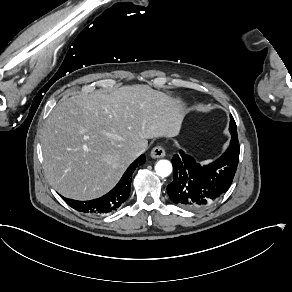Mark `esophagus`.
<instances>
[{
	"label": "esophagus",
	"instance_id": "34e87169",
	"mask_svg": "<svg viewBox=\"0 0 292 292\" xmlns=\"http://www.w3.org/2000/svg\"><path fill=\"white\" fill-rule=\"evenodd\" d=\"M165 154H166L165 149L159 145L155 146L150 152V156L153 159L162 158L165 156Z\"/></svg>",
	"mask_w": 292,
	"mask_h": 292
}]
</instances>
